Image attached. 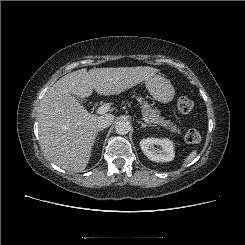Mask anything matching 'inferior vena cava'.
Instances as JSON below:
<instances>
[{
	"mask_svg": "<svg viewBox=\"0 0 245 245\" xmlns=\"http://www.w3.org/2000/svg\"><path fill=\"white\" fill-rule=\"evenodd\" d=\"M113 120H114V115L112 114H104L99 116L97 120L98 128L104 129L109 127L112 124Z\"/></svg>",
	"mask_w": 245,
	"mask_h": 245,
	"instance_id": "1",
	"label": "inferior vena cava"
}]
</instances>
